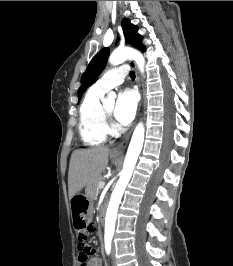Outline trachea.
<instances>
[{
  "label": "trachea",
  "mask_w": 233,
  "mask_h": 266,
  "mask_svg": "<svg viewBox=\"0 0 233 266\" xmlns=\"http://www.w3.org/2000/svg\"><path fill=\"white\" fill-rule=\"evenodd\" d=\"M130 77H131L132 79L135 78V72H134V71H131V72H130Z\"/></svg>",
  "instance_id": "obj_1"
}]
</instances>
